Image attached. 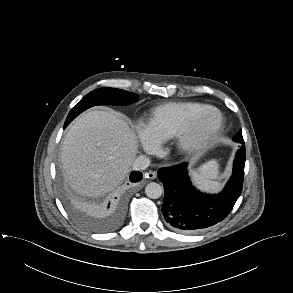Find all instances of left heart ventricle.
I'll list each match as a JSON object with an SVG mask.
<instances>
[{
	"label": "left heart ventricle",
	"mask_w": 293,
	"mask_h": 293,
	"mask_svg": "<svg viewBox=\"0 0 293 293\" xmlns=\"http://www.w3.org/2000/svg\"><path fill=\"white\" fill-rule=\"evenodd\" d=\"M216 121V116L215 115H210L207 120H206V125L207 126H211L212 124H214Z\"/></svg>",
	"instance_id": "1"
}]
</instances>
